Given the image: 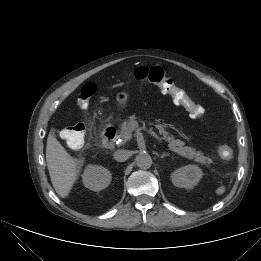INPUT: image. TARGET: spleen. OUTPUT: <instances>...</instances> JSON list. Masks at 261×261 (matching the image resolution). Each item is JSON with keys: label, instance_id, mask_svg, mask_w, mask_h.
Instances as JSON below:
<instances>
[{"label": "spleen", "instance_id": "3e777b00", "mask_svg": "<svg viewBox=\"0 0 261 261\" xmlns=\"http://www.w3.org/2000/svg\"><path fill=\"white\" fill-rule=\"evenodd\" d=\"M224 192H225V186H223V185L218 187L215 191L216 195H218V196L222 195Z\"/></svg>", "mask_w": 261, "mask_h": 261}]
</instances>
